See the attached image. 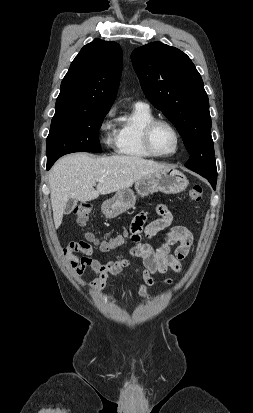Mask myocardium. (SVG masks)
Returning a JSON list of instances; mask_svg holds the SVG:
<instances>
[{"label":"myocardium","mask_w":253,"mask_h":413,"mask_svg":"<svg viewBox=\"0 0 253 413\" xmlns=\"http://www.w3.org/2000/svg\"><path fill=\"white\" fill-rule=\"evenodd\" d=\"M158 125H166L168 126L174 133L175 137H176V148L175 150L170 153V154H161L158 153L154 146H153V142H152V135H153V131L154 129L158 126ZM142 140H143V145L145 147V149L147 150V152L154 157H159V158H170L175 156L180 148H181V144H182V139H181V135L178 131V129L176 128V126L166 120V119H160V118H154L153 120L149 121L143 128V132H142Z\"/></svg>","instance_id":"myocardium-1"}]
</instances>
